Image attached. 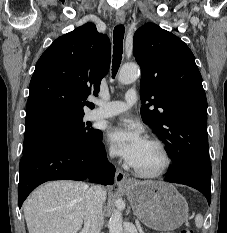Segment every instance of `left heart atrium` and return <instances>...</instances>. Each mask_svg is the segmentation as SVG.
Returning <instances> with one entry per match:
<instances>
[{
    "instance_id": "left-heart-atrium-1",
    "label": "left heart atrium",
    "mask_w": 227,
    "mask_h": 233,
    "mask_svg": "<svg viewBox=\"0 0 227 233\" xmlns=\"http://www.w3.org/2000/svg\"><path fill=\"white\" fill-rule=\"evenodd\" d=\"M107 138L114 151L129 164L134 163L147 142L136 125L114 126L109 130Z\"/></svg>"
}]
</instances>
